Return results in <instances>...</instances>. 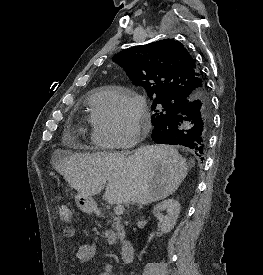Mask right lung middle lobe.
<instances>
[{"mask_svg": "<svg viewBox=\"0 0 263 275\" xmlns=\"http://www.w3.org/2000/svg\"><path fill=\"white\" fill-rule=\"evenodd\" d=\"M183 106V100L155 97L152 110V124L155 126L164 119L176 114Z\"/></svg>", "mask_w": 263, "mask_h": 275, "instance_id": "right-lung-middle-lobe-1", "label": "right lung middle lobe"}]
</instances>
